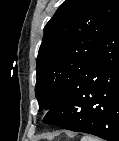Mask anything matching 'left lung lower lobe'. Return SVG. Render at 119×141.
Segmentation results:
<instances>
[{"mask_svg": "<svg viewBox=\"0 0 119 141\" xmlns=\"http://www.w3.org/2000/svg\"><path fill=\"white\" fill-rule=\"evenodd\" d=\"M43 121L119 141V14L100 40L94 58Z\"/></svg>", "mask_w": 119, "mask_h": 141, "instance_id": "0a47b994", "label": "left lung lower lobe"}]
</instances>
